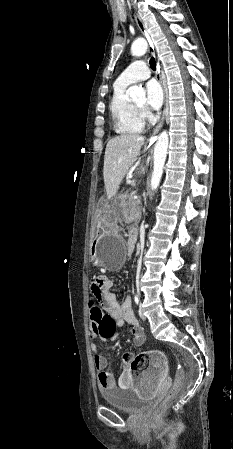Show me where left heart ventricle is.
<instances>
[{
  "instance_id": "1",
  "label": "left heart ventricle",
  "mask_w": 233,
  "mask_h": 449,
  "mask_svg": "<svg viewBox=\"0 0 233 449\" xmlns=\"http://www.w3.org/2000/svg\"><path fill=\"white\" fill-rule=\"evenodd\" d=\"M144 103H145L144 100H141V101L136 102L135 104L138 106H143Z\"/></svg>"
}]
</instances>
